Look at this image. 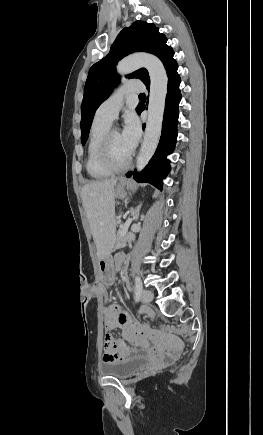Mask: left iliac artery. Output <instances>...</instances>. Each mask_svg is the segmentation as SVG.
Segmentation results:
<instances>
[{
  "label": "left iliac artery",
  "instance_id": "obj_1",
  "mask_svg": "<svg viewBox=\"0 0 263 435\" xmlns=\"http://www.w3.org/2000/svg\"><path fill=\"white\" fill-rule=\"evenodd\" d=\"M142 292V282L138 276L135 277V301H139Z\"/></svg>",
  "mask_w": 263,
  "mask_h": 435
}]
</instances>
